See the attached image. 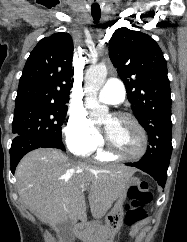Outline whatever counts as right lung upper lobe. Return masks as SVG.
I'll return each mask as SVG.
<instances>
[{
    "label": "right lung upper lobe",
    "instance_id": "obj_1",
    "mask_svg": "<svg viewBox=\"0 0 187 242\" xmlns=\"http://www.w3.org/2000/svg\"><path fill=\"white\" fill-rule=\"evenodd\" d=\"M73 41L68 33H56L38 42L20 78L15 107L62 105L69 102Z\"/></svg>",
    "mask_w": 187,
    "mask_h": 242
}]
</instances>
